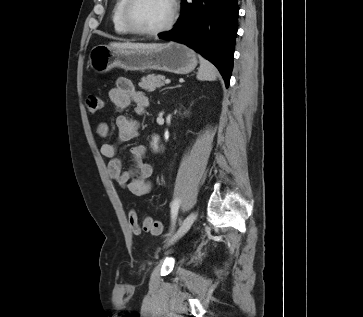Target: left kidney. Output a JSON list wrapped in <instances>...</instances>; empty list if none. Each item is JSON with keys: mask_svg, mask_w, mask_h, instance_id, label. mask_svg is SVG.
Wrapping results in <instances>:
<instances>
[{"mask_svg": "<svg viewBox=\"0 0 363 317\" xmlns=\"http://www.w3.org/2000/svg\"><path fill=\"white\" fill-rule=\"evenodd\" d=\"M158 141H159V137L158 136H154L153 137V142L151 143L153 148L156 150L158 148Z\"/></svg>", "mask_w": 363, "mask_h": 317, "instance_id": "left-kidney-1", "label": "left kidney"}]
</instances>
